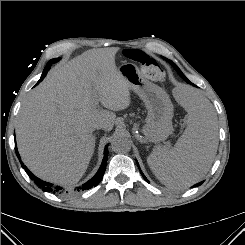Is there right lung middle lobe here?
Listing matches in <instances>:
<instances>
[{"instance_id":"right-lung-middle-lobe-1","label":"right lung middle lobe","mask_w":245,"mask_h":245,"mask_svg":"<svg viewBox=\"0 0 245 245\" xmlns=\"http://www.w3.org/2000/svg\"><path fill=\"white\" fill-rule=\"evenodd\" d=\"M60 60V58H55V59H52V60H50L52 63H55V62H57V61H59Z\"/></svg>"}]
</instances>
